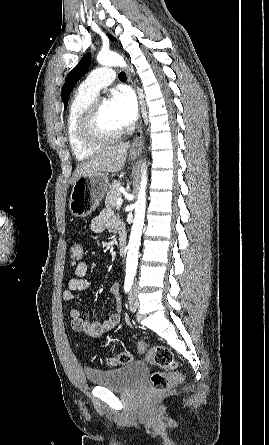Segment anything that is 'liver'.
<instances>
[{
    "instance_id": "1",
    "label": "liver",
    "mask_w": 269,
    "mask_h": 445,
    "mask_svg": "<svg viewBox=\"0 0 269 445\" xmlns=\"http://www.w3.org/2000/svg\"><path fill=\"white\" fill-rule=\"evenodd\" d=\"M128 148V143L110 146L78 165L73 174V184L83 175L95 174L97 172H119L124 167Z\"/></svg>"
}]
</instances>
